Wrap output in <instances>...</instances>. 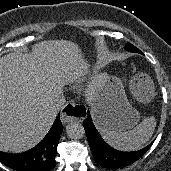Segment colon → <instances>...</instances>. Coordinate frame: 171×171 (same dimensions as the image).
Segmentation results:
<instances>
[{"label":"colon","mask_w":171,"mask_h":171,"mask_svg":"<svg viewBox=\"0 0 171 171\" xmlns=\"http://www.w3.org/2000/svg\"><path fill=\"white\" fill-rule=\"evenodd\" d=\"M138 79V75H133L130 79L129 85L131 88H133L136 85Z\"/></svg>","instance_id":"1"}]
</instances>
